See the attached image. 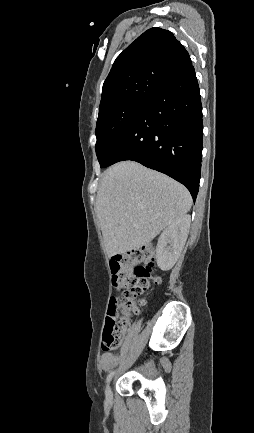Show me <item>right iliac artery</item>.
I'll return each mask as SVG.
<instances>
[{"mask_svg":"<svg viewBox=\"0 0 254 433\" xmlns=\"http://www.w3.org/2000/svg\"><path fill=\"white\" fill-rule=\"evenodd\" d=\"M115 372L114 371H110V373L107 376V383L110 382V380L112 379V377L114 376Z\"/></svg>","mask_w":254,"mask_h":433,"instance_id":"82829eb1","label":"right iliac artery"}]
</instances>
